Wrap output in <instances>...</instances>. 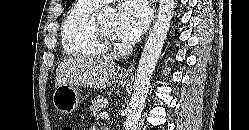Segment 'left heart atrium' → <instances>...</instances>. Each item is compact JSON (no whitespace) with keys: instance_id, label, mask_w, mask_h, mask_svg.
Instances as JSON below:
<instances>
[{"instance_id":"left-heart-atrium-1","label":"left heart atrium","mask_w":249,"mask_h":130,"mask_svg":"<svg viewBox=\"0 0 249 130\" xmlns=\"http://www.w3.org/2000/svg\"><path fill=\"white\" fill-rule=\"evenodd\" d=\"M149 22L150 13L142 0L126 1L119 8L116 34L122 42L134 43L146 31Z\"/></svg>"}]
</instances>
